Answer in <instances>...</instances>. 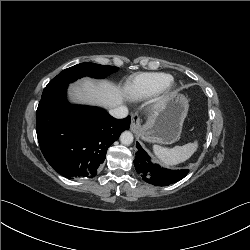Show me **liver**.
I'll list each match as a JSON object with an SVG mask.
<instances>
[{
	"instance_id": "obj_1",
	"label": "liver",
	"mask_w": 250,
	"mask_h": 250,
	"mask_svg": "<svg viewBox=\"0 0 250 250\" xmlns=\"http://www.w3.org/2000/svg\"><path fill=\"white\" fill-rule=\"evenodd\" d=\"M70 96L76 103L114 108L124 101V92L108 81H93L89 78L71 86Z\"/></svg>"
}]
</instances>
